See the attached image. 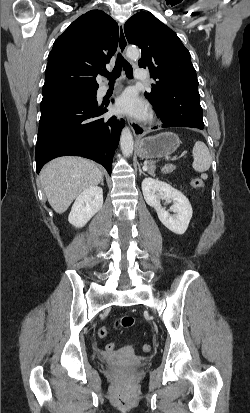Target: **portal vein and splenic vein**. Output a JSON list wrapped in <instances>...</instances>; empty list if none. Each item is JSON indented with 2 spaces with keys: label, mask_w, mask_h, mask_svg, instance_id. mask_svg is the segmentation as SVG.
<instances>
[{
  "label": "portal vein and splenic vein",
  "mask_w": 250,
  "mask_h": 413,
  "mask_svg": "<svg viewBox=\"0 0 250 413\" xmlns=\"http://www.w3.org/2000/svg\"><path fill=\"white\" fill-rule=\"evenodd\" d=\"M184 154H182L181 156H179V157H174L172 160H177L178 158H180V157H182ZM145 169H147V168H145Z\"/></svg>",
  "instance_id": "18ae733b"
}]
</instances>
